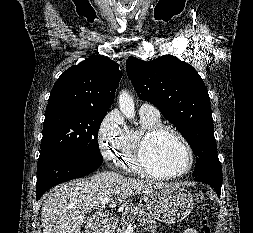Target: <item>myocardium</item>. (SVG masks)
Here are the masks:
<instances>
[{
  "mask_svg": "<svg viewBox=\"0 0 253 233\" xmlns=\"http://www.w3.org/2000/svg\"><path fill=\"white\" fill-rule=\"evenodd\" d=\"M167 133L174 136L176 139H178L186 148L188 153V165L185 170L179 173L174 174H160L152 171L146 161V152L150 146V144L160 135ZM136 164L139 168V170L146 176L154 178V179H160V180H173L182 178L186 175H188L195 162V154L192 145L190 142L186 139V137L177 129L160 124L158 126L152 127L149 130H147L140 138L137 149H136V155H135Z\"/></svg>",
  "mask_w": 253,
  "mask_h": 233,
  "instance_id": "1",
  "label": "myocardium"
}]
</instances>
